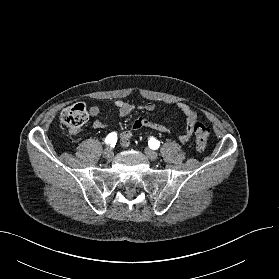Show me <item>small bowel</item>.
Masks as SVG:
<instances>
[{
    "instance_id": "1",
    "label": "small bowel",
    "mask_w": 279,
    "mask_h": 279,
    "mask_svg": "<svg viewBox=\"0 0 279 279\" xmlns=\"http://www.w3.org/2000/svg\"><path fill=\"white\" fill-rule=\"evenodd\" d=\"M115 108L117 109L119 115L121 117H125L129 114H131L136 109L143 110L146 112H152L155 110L156 106L153 103H146L144 105L136 106L130 102L118 100L114 103ZM176 108L183 114L186 122L185 131L180 134L179 141L181 143H186L191 138L194 126L197 122L198 116L196 111L188 104L184 102H178L175 104ZM89 114L92 118L95 120L92 123V127L95 129H103L106 127V124L100 120H98V116L100 115V109L97 106H92L89 109ZM143 127L151 128L157 132L163 133V134H169L170 129L167 125L156 123L151 120H148L146 118L140 117L136 119L130 130H127L122 133L121 135V144L123 146H128L130 143V140L132 138L133 132L140 130Z\"/></svg>"
}]
</instances>
